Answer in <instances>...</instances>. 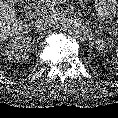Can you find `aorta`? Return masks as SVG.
I'll use <instances>...</instances> for the list:
<instances>
[{
    "instance_id": "obj_1",
    "label": "aorta",
    "mask_w": 118,
    "mask_h": 118,
    "mask_svg": "<svg viewBox=\"0 0 118 118\" xmlns=\"http://www.w3.org/2000/svg\"><path fill=\"white\" fill-rule=\"evenodd\" d=\"M67 31L74 37L86 40L89 37L88 30L83 23L77 19H68L65 23Z\"/></svg>"
}]
</instances>
